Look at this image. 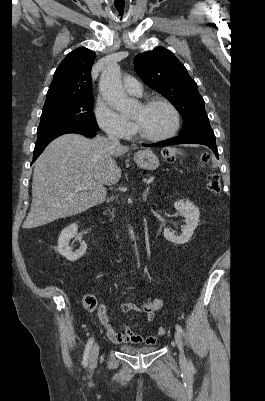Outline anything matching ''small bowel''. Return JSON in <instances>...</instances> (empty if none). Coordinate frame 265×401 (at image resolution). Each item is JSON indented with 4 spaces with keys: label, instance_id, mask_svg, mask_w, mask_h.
<instances>
[{
    "label": "small bowel",
    "instance_id": "c3829d8e",
    "mask_svg": "<svg viewBox=\"0 0 265 401\" xmlns=\"http://www.w3.org/2000/svg\"><path fill=\"white\" fill-rule=\"evenodd\" d=\"M162 307L161 300L157 298L147 297L141 303H126L120 307L123 313H128L131 311L143 313L147 316L149 321H152L155 314ZM98 321L103 325L106 331V336L108 339L115 344H136V345H154L157 343V338L155 336H146L135 334L127 328H123L122 332H117L114 330L110 324V317L104 305H100L97 315Z\"/></svg>",
    "mask_w": 265,
    "mask_h": 401
}]
</instances>
